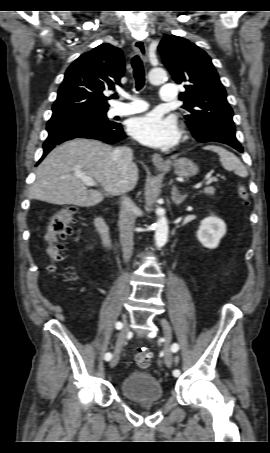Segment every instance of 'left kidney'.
I'll return each mask as SVG.
<instances>
[{"label":"left kidney","mask_w":270,"mask_h":453,"mask_svg":"<svg viewBox=\"0 0 270 453\" xmlns=\"http://www.w3.org/2000/svg\"><path fill=\"white\" fill-rule=\"evenodd\" d=\"M226 234L225 222L211 215L200 222L196 236L199 242L208 249L218 247L220 240Z\"/></svg>","instance_id":"1"}]
</instances>
